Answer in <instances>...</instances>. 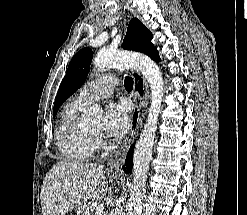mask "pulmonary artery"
<instances>
[{
    "mask_svg": "<svg viewBox=\"0 0 247 215\" xmlns=\"http://www.w3.org/2000/svg\"><path fill=\"white\" fill-rule=\"evenodd\" d=\"M118 84L115 76L97 78L85 85L78 93L76 101L84 106L110 96Z\"/></svg>",
    "mask_w": 247,
    "mask_h": 215,
    "instance_id": "obj_1",
    "label": "pulmonary artery"
}]
</instances>
